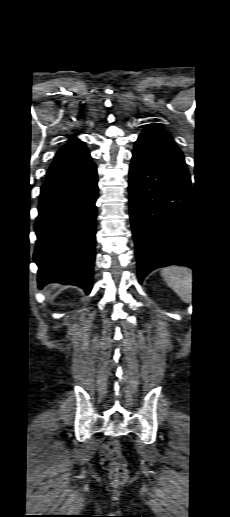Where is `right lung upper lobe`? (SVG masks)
<instances>
[{"instance_id": "right-lung-upper-lobe-1", "label": "right lung upper lobe", "mask_w": 230, "mask_h": 517, "mask_svg": "<svg viewBox=\"0 0 230 517\" xmlns=\"http://www.w3.org/2000/svg\"><path fill=\"white\" fill-rule=\"evenodd\" d=\"M90 162L91 157L85 144L77 138H71L69 143L57 152L47 172L46 181L68 176Z\"/></svg>"}]
</instances>
